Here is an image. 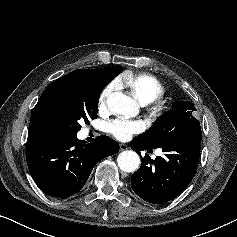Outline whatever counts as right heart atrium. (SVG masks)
Here are the masks:
<instances>
[{
  "mask_svg": "<svg viewBox=\"0 0 237 237\" xmlns=\"http://www.w3.org/2000/svg\"><path fill=\"white\" fill-rule=\"evenodd\" d=\"M116 87V83H111L103 88L98 99V104L100 108H104L106 106L109 96L116 89Z\"/></svg>",
  "mask_w": 237,
  "mask_h": 237,
  "instance_id": "1",
  "label": "right heart atrium"
}]
</instances>
